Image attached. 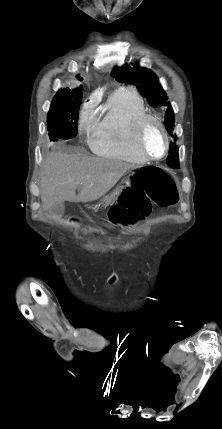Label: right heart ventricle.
<instances>
[{
	"label": "right heart ventricle",
	"mask_w": 222,
	"mask_h": 429,
	"mask_svg": "<svg viewBox=\"0 0 222 429\" xmlns=\"http://www.w3.org/2000/svg\"><path fill=\"white\" fill-rule=\"evenodd\" d=\"M146 113L142 98L130 88L113 92L104 106V117L93 130L90 147L98 155L144 164L134 141L135 123Z\"/></svg>",
	"instance_id": "right-heart-ventricle-1"
}]
</instances>
